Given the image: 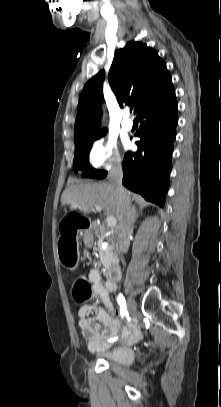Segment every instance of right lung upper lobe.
<instances>
[{
  "instance_id": "obj_1",
  "label": "right lung upper lobe",
  "mask_w": 221,
  "mask_h": 407,
  "mask_svg": "<svg viewBox=\"0 0 221 407\" xmlns=\"http://www.w3.org/2000/svg\"><path fill=\"white\" fill-rule=\"evenodd\" d=\"M104 74V71L97 73L81 93L74 126L75 144L106 132L105 128L99 130ZM108 80L119 105L132 103L137 114L173 86L171 75L158 53L135 41L115 53Z\"/></svg>"
}]
</instances>
